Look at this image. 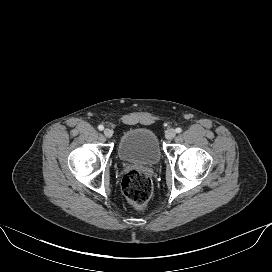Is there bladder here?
<instances>
[{
	"instance_id": "1",
	"label": "bladder",
	"mask_w": 272,
	"mask_h": 272,
	"mask_svg": "<svg viewBox=\"0 0 272 272\" xmlns=\"http://www.w3.org/2000/svg\"><path fill=\"white\" fill-rule=\"evenodd\" d=\"M117 154L123 162L155 165L161 159L162 150L154 131L148 128H135L122 135Z\"/></svg>"
}]
</instances>
